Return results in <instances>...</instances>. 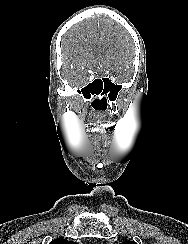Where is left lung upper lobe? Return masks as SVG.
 <instances>
[{
    "instance_id": "5c2ea615",
    "label": "left lung upper lobe",
    "mask_w": 188,
    "mask_h": 244,
    "mask_svg": "<svg viewBox=\"0 0 188 244\" xmlns=\"http://www.w3.org/2000/svg\"><path fill=\"white\" fill-rule=\"evenodd\" d=\"M120 244H137V243L134 242V241H124V242H122Z\"/></svg>"
}]
</instances>
